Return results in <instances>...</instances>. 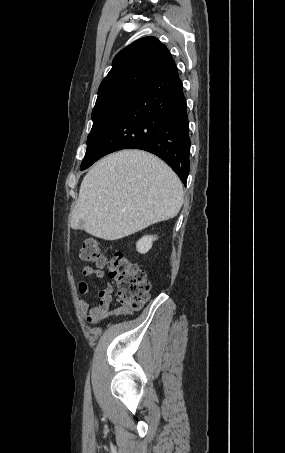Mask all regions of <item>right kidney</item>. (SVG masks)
<instances>
[{
	"label": "right kidney",
	"instance_id": "right-kidney-1",
	"mask_svg": "<svg viewBox=\"0 0 285 453\" xmlns=\"http://www.w3.org/2000/svg\"><path fill=\"white\" fill-rule=\"evenodd\" d=\"M157 239L156 236H144L136 244L137 251L141 254L147 253L151 248L153 241Z\"/></svg>",
	"mask_w": 285,
	"mask_h": 453
}]
</instances>
